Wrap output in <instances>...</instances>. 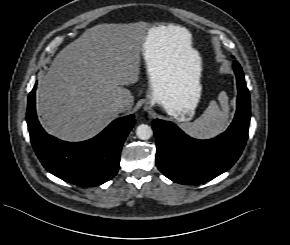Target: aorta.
<instances>
[{
	"instance_id": "aorta-1",
	"label": "aorta",
	"mask_w": 290,
	"mask_h": 245,
	"mask_svg": "<svg viewBox=\"0 0 290 245\" xmlns=\"http://www.w3.org/2000/svg\"><path fill=\"white\" fill-rule=\"evenodd\" d=\"M136 135L140 140H148L153 135V130L147 124H141L136 129Z\"/></svg>"
}]
</instances>
